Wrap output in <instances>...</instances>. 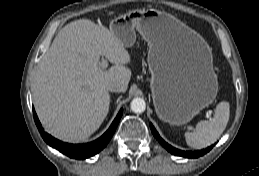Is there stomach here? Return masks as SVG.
Returning <instances> with one entry per match:
<instances>
[{
  "instance_id": "stomach-1",
  "label": "stomach",
  "mask_w": 259,
  "mask_h": 176,
  "mask_svg": "<svg viewBox=\"0 0 259 176\" xmlns=\"http://www.w3.org/2000/svg\"><path fill=\"white\" fill-rule=\"evenodd\" d=\"M125 47L136 31L148 42L150 87L159 118L171 125L189 122L216 98L218 83L202 40L174 16L157 9L130 10L110 23Z\"/></svg>"
}]
</instances>
